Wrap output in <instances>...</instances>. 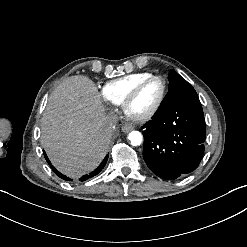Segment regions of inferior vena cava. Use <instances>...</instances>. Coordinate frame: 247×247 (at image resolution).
I'll return each instance as SVG.
<instances>
[{
  "instance_id": "obj_1",
  "label": "inferior vena cava",
  "mask_w": 247,
  "mask_h": 247,
  "mask_svg": "<svg viewBox=\"0 0 247 247\" xmlns=\"http://www.w3.org/2000/svg\"><path fill=\"white\" fill-rule=\"evenodd\" d=\"M118 120H119L118 115H116L115 113H109L106 116V122L113 132L117 130Z\"/></svg>"
}]
</instances>
